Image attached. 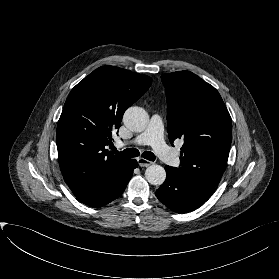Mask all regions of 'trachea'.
I'll return each mask as SVG.
<instances>
[{"label": "trachea", "mask_w": 279, "mask_h": 279, "mask_svg": "<svg viewBox=\"0 0 279 279\" xmlns=\"http://www.w3.org/2000/svg\"><path fill=\"white\" fill-rule=\"evenodd\" d=\"M112 150H113V152H114L115 154H117V155H119V156H122V157H129V158H131V157H137V156H139V151H138L137 149H135V148H127V149H125V150L119 152V151L114 147ZM142 157H143L144 159L149 160V161H154V160L156 159L155 155H154L152 152H150V151H145V152H143V153H142Z\"/></svg>", "instance_id": "1"}]
</instances>
